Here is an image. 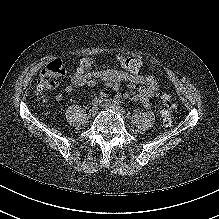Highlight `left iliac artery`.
I'll return each mask as SVG.
<instances>
[{
    "instance_id": "44dca946",
    "label": "left iliac artery",
    "mask_w": 219,
    "mask_h": 219,
    "mask_svg": "<svg viewBox=\"0 0 219 219\" xmlns=\"http://www.w3.org/2000/svg\"><path fill=\"white\" fill-rule=\"evenodd\" d=\"M113 104L120 107L121 101L119 99H115V100H113Z\"/></svg>"
}]
</instances>
